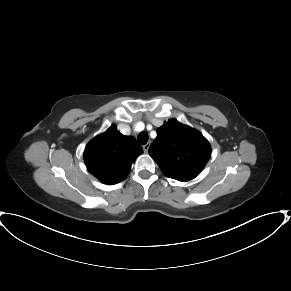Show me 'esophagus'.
Here are the masks:
<instances>
[{"instance_id": "1", "label": "esophagus", "mask_w": 291, "mask_h": 291, "mask_svg": "<svg viewBox=\"0 0 291 291\" xmlns=\"http://www.w3.org/2000/svg\"><path fill=\"white\" fill-rule=\"evenodd\" d=\"M149 147H150V143L149 142L143 146V150H144L145 153H148Z\"/></svg>"}]
</instances>
